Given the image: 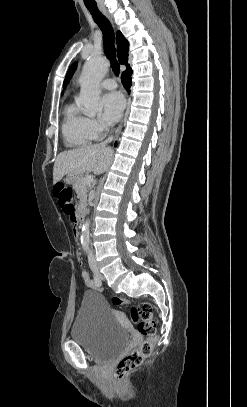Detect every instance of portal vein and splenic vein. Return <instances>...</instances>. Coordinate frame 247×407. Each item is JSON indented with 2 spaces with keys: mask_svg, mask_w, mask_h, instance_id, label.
<instances>
[{
  "mask_svg": "<svg viewBox=\"0 0 247 407\" xmlns=\"http://www.w3.org/2000/svg\"><path fill=\"white\" fill-rule=\"evenodd\" d=\"M93 180H94V177L91 176V175H88V176H86V177L84 178V181H85V183H87V184L92 183Z\"/></svg>",
  "mask_w": 247,
  "mask_h": 407,
  "instance_id": "18ae733b",
  "label": "portal vein and splenic vein"
}]
</instances>
